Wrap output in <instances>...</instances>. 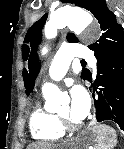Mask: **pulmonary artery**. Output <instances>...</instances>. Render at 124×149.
<instances>
[{"mask_svg":"<svg viewBox=\"0 0 124 149\" xmlns=\"http://www.w3.org/2000/svg\"><path fill=\"white\" fill-rule=\"evenodd\" d=\"M74 59H85L90 62L93 68L96 67V60L86 45L68 43L58 50L49 66L48 80L50 82L60 81L67 74L69 66Z\"/></svg>","mask_w":124,"mask_h":149,"instance_id":"e3ab8cb5","label":"pulmonary artery"}]
</instances>
